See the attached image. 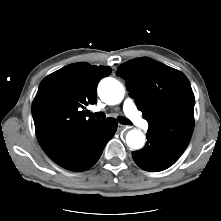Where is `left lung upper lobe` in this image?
I'll return each mask as SVG.
<instances>
[{
    "mask_svg": "<svg viewBox=\"0 0 221 221\" xmlns=\"http://www.w3.org/2000/svg\"><path fill=\"white\" fill-rule=\"evenodd\" d=\"M149 123L148 133L186 148L194 128V94L187 77L154 59L123 63L116 72Z\"/></svg>",
    "mask_w": 221,
    "mask_h": 221,
    "instance_id": "1",
    "label": "left lung upper lobe"
}]
</instances>
